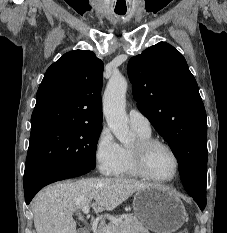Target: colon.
<instances>
[{"instance_id":"colon-1","label":"colon","mask_w":227,"mask_h":233,"mask_svg":"<svg viewBox=\"0 0 227 233\" xmlns=\"http://www.w3.org/2000/svg\"><path fill=\"white\" fill-rule=\"evenodd\" d=\"M177 233H189V230L187 228H181L177 231Z\"/></svg>"}]
</instances>
